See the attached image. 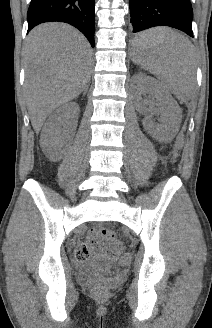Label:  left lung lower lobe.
Returning a JSON list of instances; mask_svg holds the SVG:
<instances>
[{"label": "left lung lower lobe", "instance_id": "obj_1", "mask_svg": "<svg viewBox=\"0 0 212 328\" xmlns=\"http://www.w3.org/2000/svg\"><path fill=\"white\" fill-rule=\"evenodd\" d=\"M130 16L134 33L155 26H170L193 37L190 0H130ZM133 45L138 48L141 41L136 37Z\"/></svg>", "mask_w": 212, "mask_h": 328}]
</instances>
